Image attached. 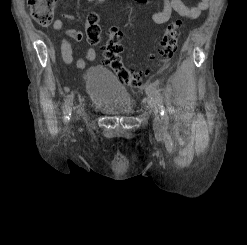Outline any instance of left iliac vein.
<instances>
[{
	"label": "left iliac vein",
	"instance_id": "1",
	"mask_svg": "<svg viewBox=\"0 0 247 245\" xmlns=\"http://www.w3.org/2000/svg\"><path fill=\"white\" fill-rule=\"evenodd\" d=\"M149 106H150V108L154 114L153 127L157 132H160L162 130L161 120H160V117L158 114V109H157L155 103L153 102V100H151V99H149Z\"/></svg>",
	"mask_w": 247,
	"mask_h": 245
}]
</instances>
